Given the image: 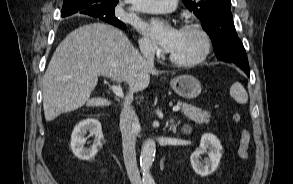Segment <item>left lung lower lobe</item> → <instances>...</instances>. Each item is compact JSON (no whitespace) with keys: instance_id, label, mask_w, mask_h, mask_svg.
Returning a JSON list of instances; mask_svg holds the SVG:
<instances>
[{"instance_id":"obj_1","label":"left lung lower lobe","mask_w":293,"mask_h":184,"mask_svg":"<svg viewBox=\"0 0 293 184\" xmlns=\"http://www.w3.org/2000/svg\"><path fill=\"white\" fill-rule=\"evenodd\" d=\"M223 53H230L232 56L218 57L226 62H232L239 66L249 76V64L244 46L239 38L230 39L229 43L221 45Z\"/></svg>"}]
</instances>
